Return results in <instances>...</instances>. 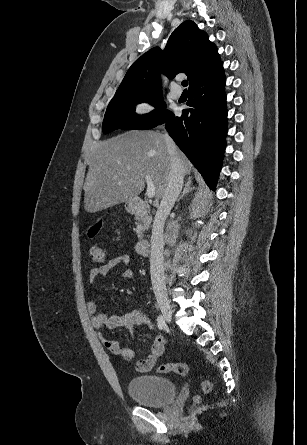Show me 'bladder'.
<instances>
[{
	"label": "bladder",
	"mask_w": 307,
	"mask_h": 445,
	"mask_svg": "<svg viewBox=\"0 0 307 445\" xmlns=\"http://www.w3.org/2000/svg\"><path fill=\"white\" fill-rule=\"evenodd\" d=\"M127 388L133 400L148 407H161L171 402L177 393V386L173 381L150 374L131 378Z\"/></svg>",
	"instance_id": "31cf9c89"
}]
</instances>
